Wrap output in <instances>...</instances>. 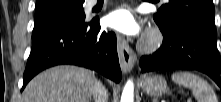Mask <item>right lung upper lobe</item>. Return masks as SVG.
<instances>
[{
	"label": "right lung upper lobe",
	"instance_id": "obj_1",
	"mask_svg": "<svg viewBox=\"0 0 221 102\" xmlns=\"http://www.w3.org/2000/svg\"><path fill=\"white\" fill-rule=\"evenodd\" d=\"M48 0H37L36 3V8L40 7L41 5H43L44 3H46Z\"/></svg>",
	"mask_w": 221,
	"mask_h": 102
}]
</instances>
